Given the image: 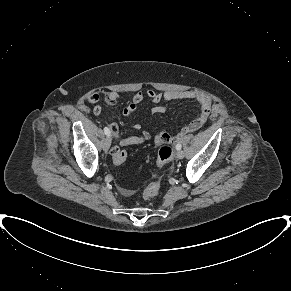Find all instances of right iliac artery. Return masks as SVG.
Here are the masks:
<instances>
[{
  "label": "right iliac artery",
  "instance_id": "82829eb1",
  "mask_svg": "<svg viewBox=\"0 0 291 291\" xmlns=\"http://www.w3.org/2000/svg\"><path fill=\"white\" fill-rule=\"evenodd\" d=\"M104 133L109 137L111 132L108 127H104Z\"/></svg>",
  "mask_w": 291,
  "mask_h": 291
}]
</instances>
